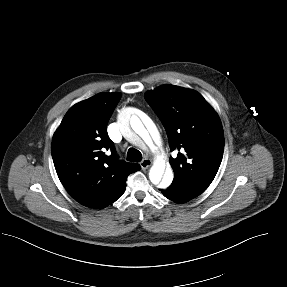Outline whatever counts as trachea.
<instances>
[{
  "label": "trachea",
  "mask_w": 287,
  "mask_h": 287,
  "mask_svg": "<svg viewBox=\"0 0 287 287\" xmlns=\"http://www.w3.org/2000/svg\"><path fill=\"white\" fill-rule=\"evenodd\" d=\"M142 160V154L135 148H129L127 152V161L140 162Z\"/></svg>",
  "instance_id": "1"
}]
</instances>
